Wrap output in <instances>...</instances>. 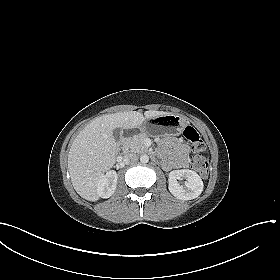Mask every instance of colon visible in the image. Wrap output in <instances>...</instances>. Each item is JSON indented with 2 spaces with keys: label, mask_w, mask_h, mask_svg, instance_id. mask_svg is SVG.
Masks as SVG:
<instances>
[{
  "label": "colon",
  "mask_w": 280,
  "mask_h": 280,
  "mask_svg": "<svg viewBox=\"0 0 280 280\" xmlns=\"http://www.w3.org/2000/svg\"><path fill=\"white\" fill-rule=\"evenodd\" d=\"M184 138L190 143L192 150V167L202 177L208 175L209 164L204 156L207 149L199 132L192 126H187L183 132Z\"/></svg>",
  "instance_id": "obj_1"
}]
</instances>
